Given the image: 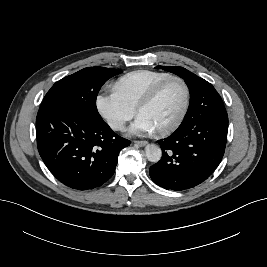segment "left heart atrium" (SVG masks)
I'll return each instance as SVG.
<instances>
[{
	"label": "left heart atrium",
	"instance_id": "left-heart-atrium-1",
	"mask_svg": "<svg viewBox=\"0 0 267 267\" xmlns=\"http://www.w3.org/2000/svg\"><path fill=\"white\" fill-rule=\"evenodd\" d=\"M155 129L151 122L143 115H138L135 122L130 127V133L135 135H144L153 132Z\"/></svg>",
	"mask_w": 267,
	"mask_h": 267
}]
</instances>
